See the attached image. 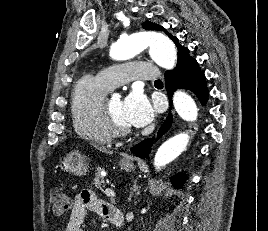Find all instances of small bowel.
Returning a JSON list of instances; mask_svg holds the SVG:
<instances>
[{"label": "small bowel", "instance_id": "obj_1", "mask_svg": "<svg viewBox=\"0 0 268 231\" xmlns=\"http://www.w3.org/2000/svg\"><path fill=\"white\" fill-rule=\"evenodd\" d=\"M88 211L95 212L105 219L110 220L113 208L98 199L92 190H82L74 198L65 231H84L82 224Z\"/></svg>", "mask_w": 268, "mask_h": 231}]
</instances>
